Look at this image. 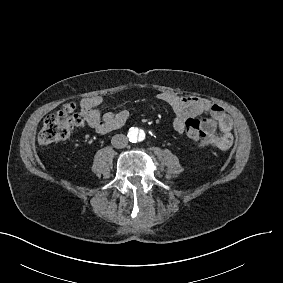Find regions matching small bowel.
I'll return each instance as SVG.
<instances>
[{"instance_id": "obj_1", "label": "small bowel", "mask_w": 283, "mask_h": 283, "mask_svg": "<svg viewBox=\"0 0 283 283\" xmlns=\"http://www.w3.org/2000/svg\"><path fill=\"white\" fill-rule=\"evenodd\" d=\"M156 98L166 103L173 111L175 118L173 127L176 132L184 134L181 124L188 117H198L209 134V144L219 150H228L234 143L233 120L217 103L197 95H175L163 91ZM103 98L100 95L81 100L80 108L86 123L97 133L106 134L123 127L130 117L128 110L101 114L100 106ZM208 114V118H201Z\"/></svg>"}]
</instances>
